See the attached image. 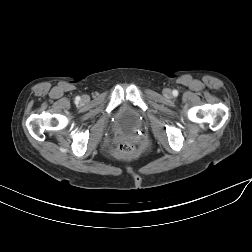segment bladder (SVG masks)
I'll list each match as a JSON object with an SVG mask.
<instances>
[{
    "instance_id": "31cf9c89",
    "label": "bladder",
    "mask_w": 252,
    "mask_h": 252,
    "mask_svg": "<svg viewBox=\"0 0 252 252\" xmlns=\"http://www.w3.org/2000/svg\"><path fill=\"white\" fill-rule=\"evenodd\" d=\"M117 120L120 128L126 131L136 128L141 122L140 115L128 107L120 111Z\"/></svg>"
}]
</instances>
